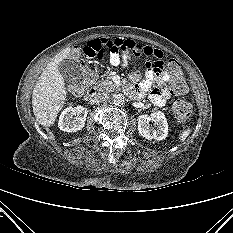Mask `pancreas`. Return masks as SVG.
<instances>
[{
  "mask_svg": "<svg viewBox=\"0 0 233 233\" xmlns=\"http://www.w3.org/2000/svg\"><path fill=\"white\" fill-rule=\"evenodd\" d=\"M95 87L100 91L111 92L112 90L117 89L119 86L113 83L110 76H107L105 79L97 82Z\"/></svg>",
  "mask_w": 233,
  "mask_h": 233,
  "instance_id": "pancreas-1",
  "label": "pancreas"
}]
</instances>
